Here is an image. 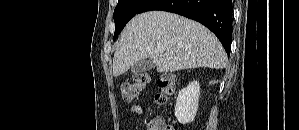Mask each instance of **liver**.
Here are the masks:
<instances>
[{
  "label": "liver",
  "mask_w": 299,
  "mask_h": 130,
  "mask_svg": "<svg viewBox=\"0 0 299 130\" xmlns=\"http://www.w3.org/2000/svg\"><path fill=\"white\" fill-rule=\"evenodd\" d=\"M163 50V52H160ZM150 58L158 72L208 67L225 68L227 55L205 26L164 11L136 15L124 28L113 57V75Z\"/></svg>",
  "instance_id": "obj_1"
}]
</instances>
